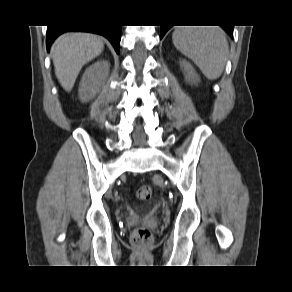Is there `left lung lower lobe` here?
Returning <instances> with one entry per match:
<instances>
[{
	"label": "left lung lower lobe",
	"mask_w": 292,
	"mask_h": 292,
	"mask_svg": "<svg viewBox=\"0 0 292 292\" xmlns=\"http://www.w3.org/2000/svg\"><path fill=\"white\" fill-rule=\"evenodd\" d=\"M172 26H161V34L160 38H162L165 33L171 28ZM223 29L232 37L233 36V26H221Z\"/></svg>",
	"instance_id": "0a47b994"
}]
</instances>
